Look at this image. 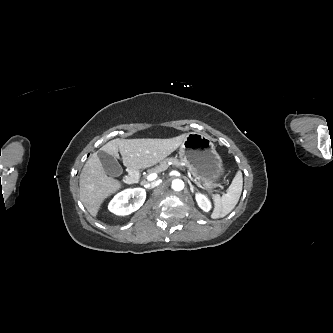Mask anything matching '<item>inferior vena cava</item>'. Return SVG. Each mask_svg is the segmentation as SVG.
I'll return each mask as SVG.
<instances>
[{"label": "inferior vena cava", "instance_id": "1", "mask_svg": "<svg viewBox=\"0 0 333 333\" xmlns=\"http://www.w3.org/2000/svg\"><path fill=\"white\" fill-rule=\"evenodd\" d=\"M159 183L158 182H152L151 184H148V185H145L146 188H154L158 185Z\"/></svg>", "mask_w": 333, "mask_h": 333}]
</instances>
